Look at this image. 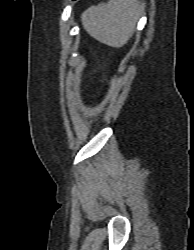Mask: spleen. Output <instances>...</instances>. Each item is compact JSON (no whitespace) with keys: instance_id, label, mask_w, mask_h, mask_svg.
Wrapping results in <instances>:
<instances>
[{"instance_id":"3e777b00","label":"spleen","mask_w":194,"mask_h":250,"mask_svg":"<svg viewBox=\"0 0 194 250\" xmlns=\"http://www.w3.org/2000/svg\"><path fill=\"white\" fill-rule=\"evenodd\" d=\"M142 7L137 0H109L82 14L87 33L112 47H122L135 31Z\"/></svg>"}]
</instances>
